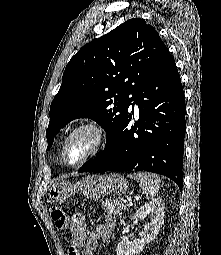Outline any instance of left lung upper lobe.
<instances>
[{"label":"left lung upper lobe","instance_id":"left-lung-upper-lobe-1","mask_svg":"<svg viewBox=\"0 0 221 255\" xmlns=\"http://www.w3.org/2000/svg\"><path fill=\"white\" fill-rule=\"evenodd\" d=\"M166 50L154 27L141 18L83 46L67 64L51 103L47 149L59 130L77 118L96 121L108 140Z\"/></svg>","mask_w":221,"mask_h":255}]
</instances>
